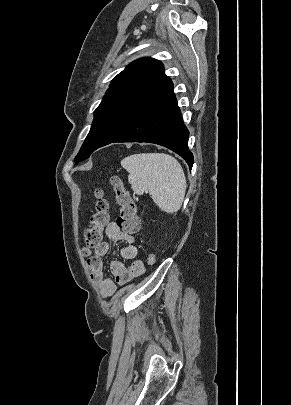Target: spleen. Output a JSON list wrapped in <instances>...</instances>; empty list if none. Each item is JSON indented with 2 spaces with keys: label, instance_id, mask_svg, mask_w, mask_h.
Masks as SVG:
<instances>
[{
  "label": "spleen",
  "instance_id": "1",
  "mask_svg": "<svg viewBox=\"0 0 291 405\" xmlns=\"http://www.w3.org/2000/svg\"><path fill=\"white\" fill-rule=\"evenodd\" d=\"M122 167L137 195L149 191L154 203L166 213L177 212L184 200L186 177L180 163L165 153H141L124 158Z\"/></svg>",
  "mask_w": 291,
  "mask_h": 405
}]
</instances>
